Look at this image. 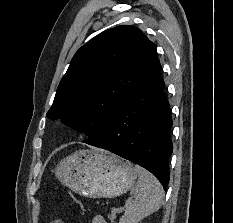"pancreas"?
<instances>
[{"label": "pancreas", "instance_id": "obj_1", "mask_svg": "<svg viewBox=\"0 0 233 223\" xmlns=\"http://www.w3.org/2000/svg\"><path fill=\"white\" fill-rule=\"evenodd\" d=\"M116 211H118L117 207H112V215H114V213H116Z\"/></svg>", "mask_w": 233, "mask_h": 223}]
</instances>
